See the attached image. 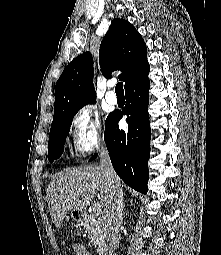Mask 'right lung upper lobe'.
<instances>
[{
	"label": "right lung upper lobe",
	"mask_w": 221,
	"mask_h": 255,
	"mask_svg": "<svg viewBox=\"0 0 221 255\" xmlns=\"http://www.w3.org/2000/svg\"><path fill=\"white\" fill-rule=\"evenodd\" d=\"M146 54L147 47L134 26L124 19H114L100 45L101 71L106 78H110L115 70L122 71L119 79L126 86L148 63ZM93 75L90 52L77 56L65 67L55 86L54 118L50 131L55 129L59 116L94 101Z\"/></svg>",
	"instance_id": "obj_1"
}]
</instances>
